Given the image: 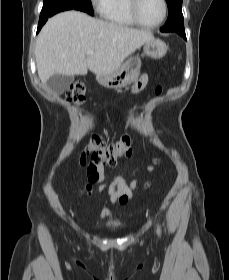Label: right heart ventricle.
<instances>
[{"label":"right heart ventricle","mask_w":229,"mask_h":280,"mask_svg":"<svg viewBox=\"0 0 229 280\" xmlns=\"http://www.w3.org/2000/svg\"><path fill=\"white\" fill-rule=\"evenodd\" d=\"M102 16L106 22L118 27L136 26L128 10V0H110L109 6Z\"/></svg>","instance_id":"e07e8e85"}]
</instances>
